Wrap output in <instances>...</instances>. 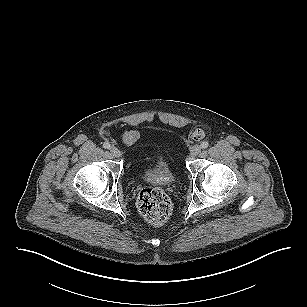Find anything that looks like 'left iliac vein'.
I'll use <instances>...</instances> for the list:
<instances>
[{"label": "left iliac vein", "mask_w": 307, "mask_h": 307, "mask_svg": "<svg viewBox=\"0 0 307 307\" xmlns=\"http://www.w3.org/2000/svg\"><path fill=\"white\" fill-rule=\"evenodd\" d=\"M200 152H201V146L200 145H195L190 150V154L193 157L197 156Z\"/></svg>", "instance_id": "1"}]
</instances>
